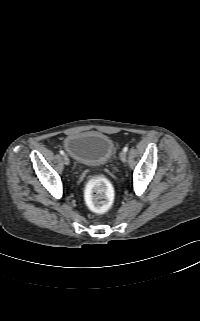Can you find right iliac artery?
Instances as JSON below:
<instances>
[{
    "mask_svg": "<svg viewBox=\"0 0 200 321\" xmlns=\"http://www.w3.org/2000/svg\"><path fill=\"white\" fill-rule=\"evenodd\" d=\"M60 154H61V155H64V151H63V150H60Z\"/></svg>",
    "mask_w": 200,
    "mask_h": 321,
    "instance_id": "1",
    "label": "right iliac artery"
}]
</instances>
